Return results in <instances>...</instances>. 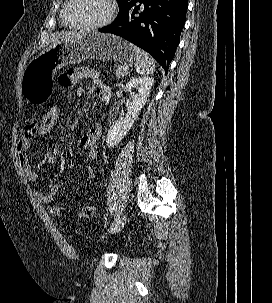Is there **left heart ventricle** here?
<instances>
[{"label":"left heart ventricle","mask_w":272,"mask_h":303,"mask_svg":"<svg viewBox=\"0 0 272 303\" xmlns=\"http://www.w3.org/2000/svg\"><path fill=\"white\" fill-rule=\"evenodd\" d=\"M106 0H73L67 9V18L75 24L97 23L106 18Z\"/></svg>","instance_id":"b2bd125f"}]
</instances>
